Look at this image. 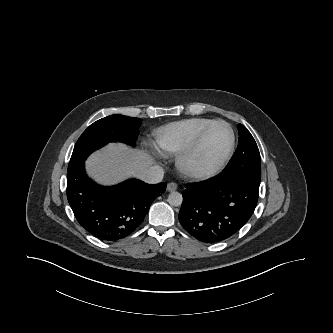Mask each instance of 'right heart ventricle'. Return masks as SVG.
Masks as SVG:
<instances>
[{
	"label": "right heart ventricle",
	"instance_id": "right-heart-ventricle-1",
	"mask_svg": "<svg viewBox=\"0 0 333 333\" xmlns=\"http://www.w3.org/2000/svg\"><path fill=\"white\" fill-rule=\"evenodd\" d=\"M213 119L195 117L170 123L156 132V145L163 154H178L185 150L200 131Z\"/></svg>",
	"mask_w": 333,
	"mask_h": 333
}]
</instances>
